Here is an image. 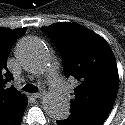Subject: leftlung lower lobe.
Returning <instances> with one entry per match:
<instances>
[{
    "instance_id": "left-lung-lower-lobe-1",
    "label": "left lung lower lobe",
    "mask_w": 125,
    "mask_h": 125,
    "mask_svg": "<svg viewBox=\"0 0 125 125\" xmlns=\"http://www.w3.org/2000/svg\"><path fill=\"white\" fill-rule=\"evenodd\" d=\"M103 122L71 114L67 119L57 120V125H102Z\"/></svg>"
}]
</instances>
